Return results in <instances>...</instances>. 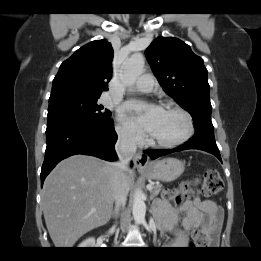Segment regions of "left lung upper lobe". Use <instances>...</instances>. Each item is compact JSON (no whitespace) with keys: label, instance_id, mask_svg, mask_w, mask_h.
<instances>
[{"label":"left lung upper lobe","instance_id":"left-lung-upper-lobe-1","mask_svg":"<svg viewBox=\"0 0 261 261\" xmlns=\"http://www.w3.org/2000/svg\"><path fill=\"white\" fill-rule=\"evenodd\" d=\"M145 54L164 91L191 114L195 131L214 130L203 59L174 37L156 38Z\"/></svg>","mask_w":261,"mask_h":261}]
</instances>
